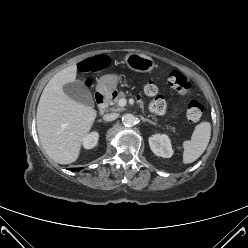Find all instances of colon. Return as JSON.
I'll return each mask as SVG.
<instances>
[{
  "mask_svg": "<svg viewBox=\"0 0 248 248\" xmlns=\"http://www.w3.org/2000/svg\"><path fill=\"white\" fill-rule=\"evenodd\" d=\"M104 65V62L100 59H88L80 64V69L82 71H92L101 69ZM167 81L173 90L182 94L187 93L191 86L190 80L183 73L177 70L169 73ZM145 93L152 99L150 104L151 110L156 114H164L166 112V103L160 96H158L157 87L153 83L149 82L145 86ZM183 103L186 107L187 119L192 124H197L203 113L202 104L188 97H184Z\"/></svg>",
  "mask_w": 248,
  "mask_h": 248,
  "instance_id": "obj_1",
  "label": "colon"
}]
</instances>
